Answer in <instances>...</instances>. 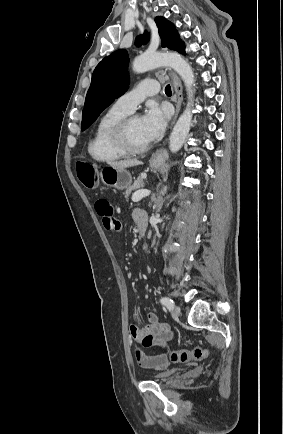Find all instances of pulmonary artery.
I'll use <instances>...</instances> for the list:
<instances>
[{
	"mask_svg": "<svg viewBox=\"0 0 283 434\" xmlns=\"http://www.w3.org/2000/svg\"><path fill=\"white\" fill-rule=\"evenodd\" d=\"M158 91L159 83L156 80H143L134 89L120 96L114 105L124 111L133 112L140 102Z\"/></svg>",
	"mask_w": 283,
	"mask_h": 434,
	"instance_id": "e3ab8cb5",
	"label": "pulmonary artery"
}]
</instances>
